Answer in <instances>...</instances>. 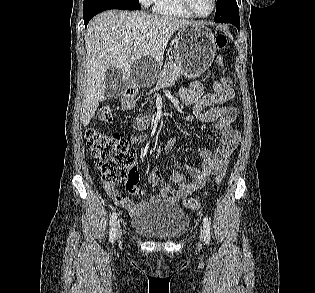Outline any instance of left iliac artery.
<instances>
[{
    "label": "left iliac artery",
    "instance_id": "left-iliac-artery-1",
    "mask_svg": "<svg viewBox=\"0 0 315 293\" xmlns=\"http://www.w3.org/2000/svg\"><path fill=\"white\" fill-rule=\"evenodd\" d=\"M210 220L207 217L203 219V226H204V240L207 244L210 243Z\"/></svg>",
    "mask_w": 315,
    "mask_h": 293
}]
</instances>
